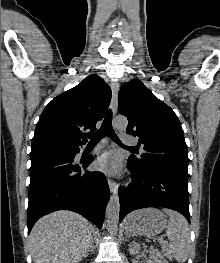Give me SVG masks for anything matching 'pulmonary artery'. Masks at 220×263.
Listing matches in <instances>:
<instances>
[{
	"mask_svg": "<svg viewBox=\"0 0 220 263\" xmlns=\"http://www.w3.org/2000/svg\"><path fill=\"white\" fill-rule=\"evenodd\" d=\"M122 141L127 144V145H135L136 144V140L127 134L122 135Z\"/></svg>",
	"mask_w": 220,
	"mask_h": 263,
	"instance_id": "pulmonary-artery-1",
	"label": "pulmonary artery"
}]
</instances>
